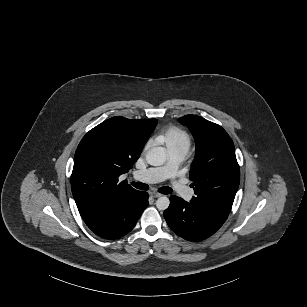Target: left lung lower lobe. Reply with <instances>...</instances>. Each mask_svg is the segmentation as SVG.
<instances>
[{"mask_svg":"<svg viewBox=\"0 0 307 307\" xmlns=\"http://www.w3.org/2000/svg\"><path fill=\"white\" fill-rule=\"evenodd\" d=\"M164 218L177 235L190 241L210 237L225 222L177 196L170 197V206L164 211Z\"/></svg>","mask_w":307,"mask_h":307,"instance_id":"0a47b994","label":"left lung lower lobe"}]
</instances>
